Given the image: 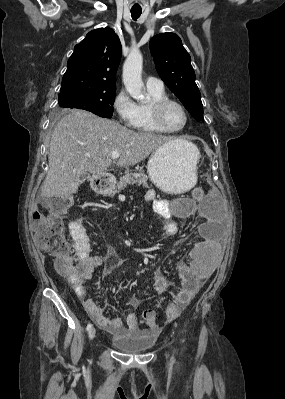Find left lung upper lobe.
Listing matches in <instances>:
<instances>
[{"mask_svg": "<svg viewBox=\"0 0 285 399\" xmlns=\"http://www.w3.org/2000/svg\"><path fill=\"white\" fill-rule=\"evenodd\" d=\"M156 70L166 86L197 121H204L200 91L195 83L191 57L174 33H161L149 42Z\"/></svg>", "mask_w": 285, "mask_h": 399, "instance_id": "5c2ea615", "label": "left lung upper lobe"}]
</instances>
